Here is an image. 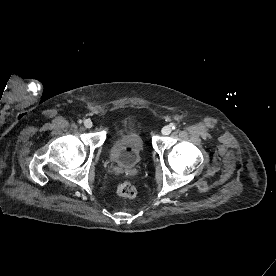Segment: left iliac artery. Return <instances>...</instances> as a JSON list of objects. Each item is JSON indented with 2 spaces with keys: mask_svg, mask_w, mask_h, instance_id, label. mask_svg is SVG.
I'll return each mask as SVG.
<instances>
[{
  "mask_svg": "<svg viewBox=\"0 0 276 276\" xmlns=\"http://www.w3.org/2000/svg\"><path fill=\"white\" fill-rule=\"evenodd\" d=\"M171 126H172L173 130L177 129V125L176 124H172Z\"/></svg>",
  "mask_w": 276,
  "mask_h": 276,
  "instance_id": "left-iliac-artery-1",
  "label": "left iliac artery"
}]
</instances>
